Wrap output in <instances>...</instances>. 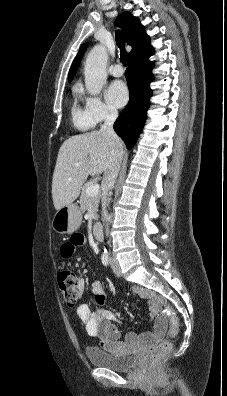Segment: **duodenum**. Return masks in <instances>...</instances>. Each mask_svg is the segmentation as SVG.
Here are the masks:
<instances>
[{
    "label": "duodenum",
    "instance_id": "duodenum-1",
    "mask_svg": "<svg viewBox=\"0 0 227 396\" xmlns=\"http://www.w3.org/2000/svg\"><path fill=\"white\" fill-rule=\"evenodd\" d=\"M93 236L97 240L102 238V226L100 223H95L92 228Z\"/></svg>",
    "mask_w": 227,
    "mask_h": 396
}]
</instances>
